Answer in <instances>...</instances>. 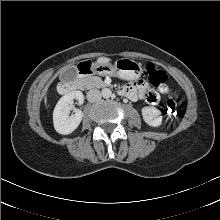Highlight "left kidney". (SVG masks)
I'll use <instances>...</instances> for the list:
<instances>
[{"mask_svg":"<svg viewBox=\"0 0 220 220\" xmlns=\"http://www.w3.org/2000/svg\"><path fill=\"white\" fill-rule=\"evenodd\" d=\"M143 120L152 127H158L162 124L161 111L156 107L145 106L141 110Z\"/></svg>","mask_w":220,"mask_h":220,"instance_id":"5707ae66","label":"left kidney"}]
</instances>
